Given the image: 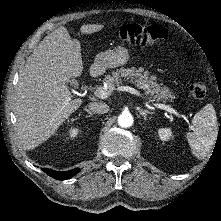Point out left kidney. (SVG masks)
Masks as SVG:
<instances>
[{
  "label": "left kidney",
  "mask_w": 221,
  "mask_h": 221,
  "mask_svg": "<svg viewBox=\"0 0 221 221\" xmlns=\"http://www.w3.org/2000/svg\"><path fill=\"white\" fill-rule=\"evenodd\" d=\"M158 134L162 141H168L171 138L172 132L170 128H161L158 130Z\"/></svg>",
  "instance_id": "1"
}]
</instances>
